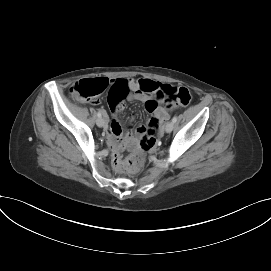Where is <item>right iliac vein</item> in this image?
I'll return each mask as SVG.
<instances>
[{
	"label": "right iliac vein",
	"mask_w": 271,
	"mask_h": 271,
	"mask_svg": "<svg viewBox=\"0 0 271 271\" xmlns=\"http://www.w3.org/2000/svg\"><path fill=\"white\" fill-rule=\"evenodd\" d=\"M96 124L98 127H103L105 125V120L103 118H98Z\"/></svg>",
	"instance_id": "obj_1"
}]
</instances>
